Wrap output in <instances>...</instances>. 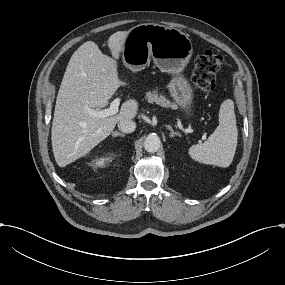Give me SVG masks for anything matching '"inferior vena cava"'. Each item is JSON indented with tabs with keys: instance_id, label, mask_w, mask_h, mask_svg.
Returning <instances> with one entry per match:
<instances>
[{
	"instance_id": "inferior-vena-cava-1",
	"label": "inferior vena cava",
	"mask_w": 285,
	"mask_h": 285,
	"mask_svg": "<svg viewBox=\"0 0 285 285\" xmlns=\"http://www.w3.org/2000/svg\"><path fill=\"white\" fill-rule=\"evenodd\" d=\"M118 128L122 132L132 133L136 128V124L133 120L123 119L119 121Z\"/></svg>"
}]
</instances>
